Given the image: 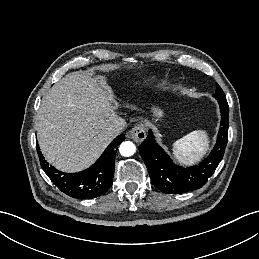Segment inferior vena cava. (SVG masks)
<instances>
[{
    "mask_svg": "<svg viewBox=\"0 0 259 259\" xmlns=\"http://www.w3.org/2000/svg\"><path fill=\"white\" fill-rule=\"evenodd\" d=\"M123 127L124 122L122 120H116L109 126V130L116 135L122 131Z\"/></svg>",
    "mask_w": 259,
    "mask_h": 259,
    "instance_id": "inferior-vena-cava-1",
    "label": "inferior vena cava"
}]
</instances>
